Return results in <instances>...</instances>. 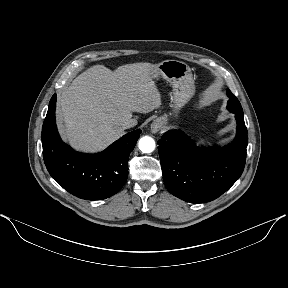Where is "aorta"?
<instances>
[{
  "label": "aorta",
  "mask_w": 288,
  "mask_h": 288,
  "mask_svg": "<svg viewBox=\"0 0 288 288\" xmlns=\"http://www.w3.org/2000/svg\"><path fill=\"white\" fill-rule=\"evenodd\" d=\"M138 147L143 153H151L155 149V141L149 136L142 137L139 140Z\"/></svg>",
  "instance_id": "762f6f07"
}]
</instances>
